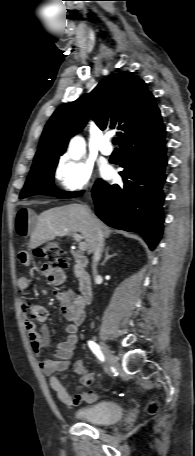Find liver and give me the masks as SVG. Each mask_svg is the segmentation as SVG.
<instances>
[{
	"instance_id": "liver-1",
	"label": "liver",
	"mask_w": 195,
	"mask_h": 456,
	"mask_svg": "<svg viewBox=\"0 0 195 456\" xmlns=\"http://www.w3.org/2000/svg\"><path fill=\"white\" fill-rule=\"evenodd\" d=\"M97 228L108 238L112 230L97 219L84 205L70 204L42 212L30 236V248L35 249L55 237L80 233L87 245V253L94 252Z\"/></svg>"
}]
</instances>
